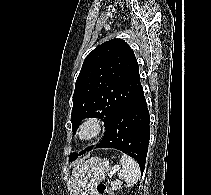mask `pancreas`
Listing matches in <instances>:
<instances>
[{
	"label": "pancreas",
	"mask_w": 211,
	"mask_h": 195,
	"mask_svg": "<svg viewBox=\"0 0 211 195\" xmlns=\"http://www.w3.org/2000/svg\"><path fill=\"white\" fill-rule=\"evenodd\" d=\"M112 190H117L121 187L120 182H112L111 183Z\"/></svg>",
	"instance_id": "cf45deb5"
}]
</instances>
